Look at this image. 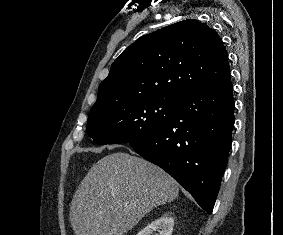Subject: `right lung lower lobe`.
Masks as SVG:
<instances>
[{
    "mask_svg": "<svg viewBox=\"0 0 283 235\" xmlns=\"http://www.w3.org/2000/svg\"><path fill=\"white\" fill-rule=\"evenodd\" d=\"M234 122L229 77L180 96L162 127L129 143L139 155L170 174L211 214L226 168Z\"/></svg>",
    "mask_w": 283,
    "mask_h": 235,
    "instance_id": "obj_1",
    "label": "right lung lower lobe"
}]
</instances>
